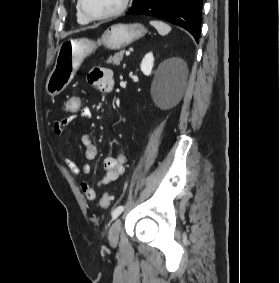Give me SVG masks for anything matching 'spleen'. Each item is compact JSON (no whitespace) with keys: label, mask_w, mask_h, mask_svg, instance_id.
<instances>
[{"label":"spleen","mask_w":280,"mask_h":283,"mask_svg":"<svg viewBox=\"0 0 280 283\" xmlns=\"http://www.w3.org/2000/svg\"><path fill=\"white\" fill-rule=\"evenodd\" d=\"M150 24L158 31V33L162 36L167 35L171 31V27L162 22V21H156L152 20L150 21Z\"/></svg>","instance_id":"obj_1"}]
</instances>
